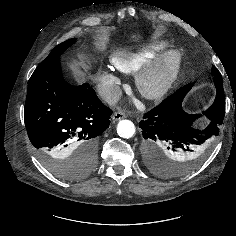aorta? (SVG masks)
I'll use <instances>...</instances> for the list:
<instances>
[{
    "instance_id": "aorta-1",
    "label": "aorta",
    "mask_w": 236,
    "mask_h": 236,
    "mask_svg": "<svg viewBox=\"0 0 236 236\" xmlns=\"http://www.w3.org/2000/svg\"><path fill=\"white\" fill-rule=\"evenodd\" d=\"M117 133L122 138H131L135 134L133 122L130 120H121L117 125Z\"/></svg>"
}]
</instances>
